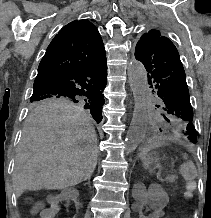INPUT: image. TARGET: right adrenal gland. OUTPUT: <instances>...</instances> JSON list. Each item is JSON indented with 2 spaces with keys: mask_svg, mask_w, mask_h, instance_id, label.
<instances>
[{
  "mask_svg": "<svg viewBox=\"0 0 211 218\" xmlns=\"http://www.w3.org/2000/svg\"><path fill=\"white\" fill-rule=\"evenodd\" d=\"M88 184H89V186H90V178H89V180H88Z\"/></svg>",
  "mask_w": 211,
  "mask_h": 218,
  "instance_id": "obj_1",
  "label": "right adrenal gland"
}]
</instances>
